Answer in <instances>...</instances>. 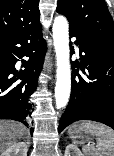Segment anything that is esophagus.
I'll return each mask as SVG.
<instances>
[{
    "label": "esophagus",
    "instance_id": "1",
    "mask_svg": "<svg viewBox=\"0 0 114 156\" xmlns=\"http://www.w3.org/2000/svg\"><path fill=\"white\" fill-rule=\"evenodd\" d=\"M51 68H52V64L49 61V57L46 56L45 63H44V71L49 72Z\"/></svg>",
    "mask_w": 114,
    "mask_h": 156
}]
</instances>
